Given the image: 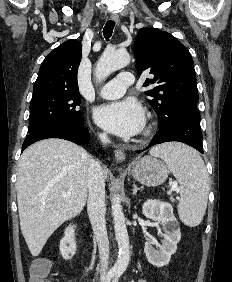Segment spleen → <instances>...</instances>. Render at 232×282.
Masks as SVG:
<instances>
[{
    "instance_id": "3e777b00",
    "label": "spleen",
    "mask_w": 232,
    "mask_h": 282,
    "mask_svg": "<svg viewBox=\"0 0 232 282\" xmlns=\"http://www.w3.org/2000/svg\"><path fill=\"white\" fill-rule=\"evenodd\" d=\"M162 158L180 184L181 199L178 214L190 227L198 226L205 214L209 192L206 167L202 158L192 148L180 143H168L150 150Z\"/></svg>"
}]
</instances>
